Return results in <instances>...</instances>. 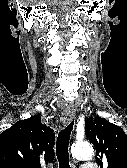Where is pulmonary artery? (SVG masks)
<instances>
[{"instance_id":"e3ab8cb5","label":"pulmonary artery","mask_w":127,"mask_h":168,"mask_svg":"<svg viewBox=\"0 0 127 168\" xmlns=\"http://www.w3.org/2000/svg\"><path fill=\"white\" fill-rule=\"evenodd\" d=\"M81 168H97V165L94 163H84L81 165Z\"/></svg>"}]
</instances>
